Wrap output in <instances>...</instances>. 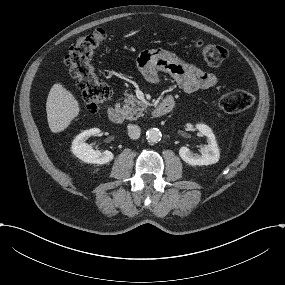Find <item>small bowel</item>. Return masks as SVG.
Segmentation results:
<instances>
[{
  "instance_id": "obj_1",
  "label": "small bowel",
  "mask_w": 285,
  "mask_h": 285,
  "mask_svg": "<svg viewBox=\"0 0 285 285\" xmlns=\"http://www.w3.org/2000/svg\"><path fill=\"white\" fill-rule=\"evenodd\" d=\"M138 67L144 78L151 83L160 81V72L169 74L187 93L209 89L218 83L217 75L207 73L197 66L165 49H152L140 54Z\"/></svg>"
}]
</instances>
